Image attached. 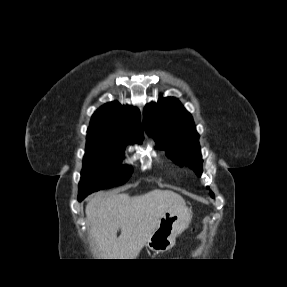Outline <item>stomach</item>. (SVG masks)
<instances>
[{
    "label": "stomach",
    "instance_id": "0dacf381",
    "mask_svg": "<svg viewBox=\"0 0 287 287\" xmlns=\"http://www.w3.org/2000/svg\"><path fill=\"white\" fill-rule=\"evenodd\" d=\"M191 218L192 212L185 204L169 208L150 236L147 242L148 248L155 253L170 250L175 244L176 237L188 227Z\"/></svg>",
    "mask_w": 287,
    "mask_h": 287
}]
</instances>
